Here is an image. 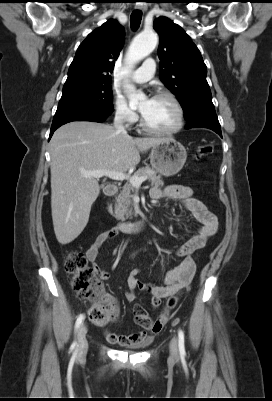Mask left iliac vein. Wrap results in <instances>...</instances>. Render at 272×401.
Segmentation results:
<instances>
[{"instance_id": "left-iliac-vein-1", "label": "left iliac vein", "mask_w": 272, "mask_h": 401, "mask_svg": "<svg viewBox=\"0 0 272 401\" xmlns=\"http://www.w3.org/2000/svg\"><path fill=\"white\" fill-rule=\"evenodd\" d=\"M170 354L173 358L178 356V339L174 337L170 342Z\"/></svg>"}]
</instances>
